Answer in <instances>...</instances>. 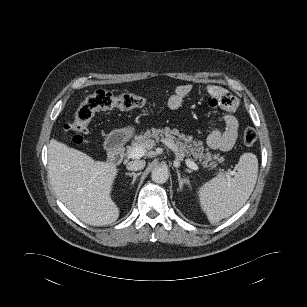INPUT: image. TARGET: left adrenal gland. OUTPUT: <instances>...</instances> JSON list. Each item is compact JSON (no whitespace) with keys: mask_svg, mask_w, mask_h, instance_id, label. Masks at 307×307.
Returning a JSON list of instances; mask_svg holds the SVG:
<instances>
[{"mask_svg":"<svg viewBox=\"0 0 307 307\" xmlns=\"http://www.w3.org/2000/svg\"><path fill=\"white\" fill-rule=\"evenodd\" d=\"M176 171H177V176H178L179 190L182 191L184 185H189V181L186 178H181L179 170H176Z\"/></svg>","mask_w":307,"mask_h":307,"instance_id":"a2214340","label":"left adrenal gland"}]
</instances>
